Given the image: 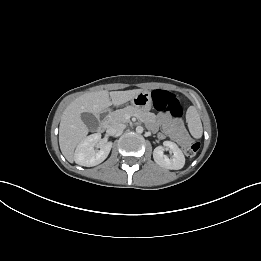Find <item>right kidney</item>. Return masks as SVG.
Instances as JSON below:
<instances>
[{
  "instance_id": "ca27d5eb",
  "label": "right kidney",
  "mask_w": 261,
  "mask_h": 261,
  "mask_svg": "<svg viewBox=\"0 0 261 261\" xmlns=\"http://www.w3.org/2000/svg\"><path fill=\"white\" fill-rule=\"evenodd\" d=\"M101 134L96 133L82 140L74 153V161L81 166L92 167L103 162L110 153L112 142L100 143ZM98 144L99 150L94 146Z\"/></svg>"
}]
</instances>
